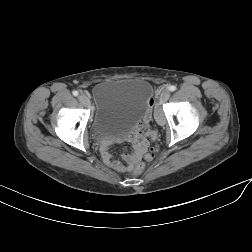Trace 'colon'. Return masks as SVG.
Here are the masks:
<instances>
[{
  "mask_svg": "<svg viewBox=\"0 0 252 252\" xmlns=\"http://www.w3.org/2000/svg\"><path fill=\"white\" fill-rule=\"evenodd\" d=\"M150 105H152V102L150 103ZM152 157H153V152L151 151L149 154H147L146 159L150 161L152 159ZM144 167H145V165L143 162H138L133 169V173L135 175L141 174L144 170Z\"/></svg>",
  "mask_w": 252,
  "mask_h": 252,
  "instance_id": "1",
  "label": "colon"
}]
</instances>
